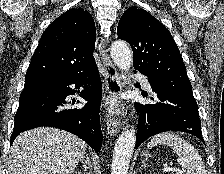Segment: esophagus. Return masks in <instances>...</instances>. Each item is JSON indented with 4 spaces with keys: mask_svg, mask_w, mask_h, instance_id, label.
<instances>
[{
    "mask_svg": "<svg viewBox=\"0 0 224 174\" xmlns=\"http://www.w3.org/2000/svg\"><path fill=\"white\" fill-rule=\"evenodd\" d=\"M106 44L107 41L102 39L99 45V52L106 72V90L109 96L119 95L122 92V84L118 71L107 54ZM106 125L111 136H116L119 133L120 121L112 114L107 116Z\"/></svg>",
    "mask_w": 224,
    "mask_h": 174,
    "instance_id": "1",
    "label": "esophagus"
}]
</instances>
